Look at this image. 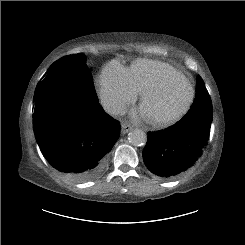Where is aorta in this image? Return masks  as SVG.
<instances>
[{
  "label": "aorta",
  "mask_w": 245,
  "mask_h": 245,
  "mask_svg": "<svg viewBox=\"0 0 245 245\" xmlns=\"http://www.w3.org/2000/svg\"><path fill=\"white\" fill-rule=\"evenodd\" d=\"M130 143L134 146H142L147 142V136L141 129H134L129 133Z\"/></svg>",
  "instance_id": "aorta-1"
}]
</instances>
